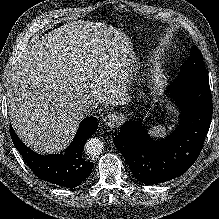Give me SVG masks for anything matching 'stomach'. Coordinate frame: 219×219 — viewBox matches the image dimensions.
<instances>
[{
    "label": "stomach",
    "instance_id": "1",
    "mask_svg": "<svg viewBox=\"0 0 219 219\" xmlns=\"http://www.w3.org/2000/svg\"><path fill=\"white\" fill-rule=\"evenodd\" d=\"M143 95H144L143 91H140V97L143 96Z\"/></svg>",
    "mask_w": 219,
    "mask_h": 219
}]
</instances>
